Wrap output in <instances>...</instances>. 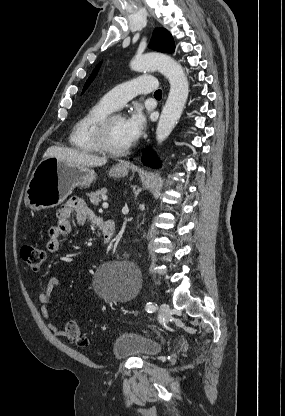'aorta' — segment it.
Here are the masks:
<instances>
[{
  "label": "aorta",
  "mask_w": 285,
  "mask_h": 416,
  "mask_svg": "<svg viewBox=\"0 0 285 416\" xmlns=\"http://www.w3.org/2000/svg\"><path fill=\"white\" fill-rule=\"evenodd\" d=\"M131 68L137 72L158 70L170 83V91L156 129V140L162 143L171 134L183 112L188 98L189 84L179 63L169 56L148 53L133 59Z\"/></svg>",
  "instance_id": "762f6f07"
}]
</instances>
